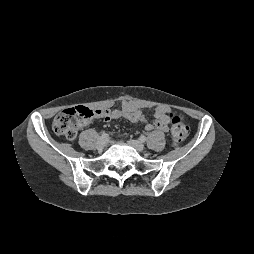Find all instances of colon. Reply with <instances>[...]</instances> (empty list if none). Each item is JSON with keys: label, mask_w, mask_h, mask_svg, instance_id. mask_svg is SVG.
<instances>
[{"label": "colon", "mask_w": 254, "mask_h": 254, "mask_svg": "<svg viewBox=\"0 0 254 254\" xmlns=\"http://www.w3.org/2000/svg\"><path fill=\"white\" fill-rule=\"evenodd\" d=\"M99 117V111L86 106L68 108L60 112L53 120V131L69 140L76 137L78 129L85 124ZM168 117L171 123V136L173 143L177 145L190 133V128L184 117L176 111H169Z\"/></svg>", "instance_id": "1"}]
</instances>
